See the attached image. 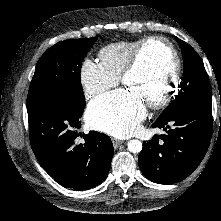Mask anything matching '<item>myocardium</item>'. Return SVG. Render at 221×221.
Returning <instances> with one entry per match:
<instances>
[{"mask_svg":"<svg viewBox=\"0 0 221 221\" xmlns=\"http://www.w3.org/2000/svg\"><path fill=\"white\" fill-rule=\"evenodd\" d=\"M154 42L162 43L167 47V49L170 52L172 62H173V67H172V71L170 74L169 83H168L166 89L155 100L147 103L148 107L153 108V109H157V108H161V107L165 106L171 100L173 95L175 94L176 89H177L179 76H180V71H181L180 57L178 55V52H177L175 46L168 38L163 37V36H151V37L143 38L135 46L134 50L132 51V53L129 57V61L121 73L120 79H121V83L123 85H125L126 79L137 68L142 51L148 45H150L151 43H154Z\"/></svg>","mask_w":221,"mask_h":221,"instance_id":"myocardium-1","label":"myocardium"}]
</instances>
